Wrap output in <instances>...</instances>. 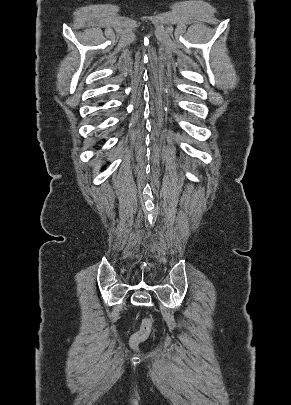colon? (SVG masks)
I'll use <instances>...</instances> for the list:
<instances>
[{"mask_svg":"<svg viewBox=\"0 0 291 405\" xmlns=\"http://www.w3.org/2000/svg\"><path fill=\"white\" fill-rule=\"evenodd\" d=\"M153 330V321L151 318H144L141 321L138 331L132 336L130 340L131 347L138 351L142 342L147 340Z\"/></svg>","mask_w":291,"mask_h":405,"instance_id":"colon-1","label":"colon"}]
</instances>
